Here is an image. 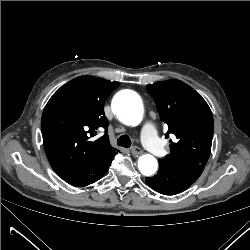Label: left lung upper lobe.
I'll return each instance as SVG.
<instances>
[{
	"mask_svg": "<svg viewBox=\"0 0 250 250\" xmlns=\"http://www.w3.org/2000/svg\"><path fill=\"white\" fill-rule=\"evenodd\" d=\"M154 98L162 121L168 126L170 153L159 164L167 166L202 165L209 158L213 117L206 101L189 85L177 79L147 86Z\"/></svg>",
	"mask_w": 250,
	"mask_h": 250,
	"instance_id": "obj_1",
	"label": "left lung upper lobe"
}]
</instances>
